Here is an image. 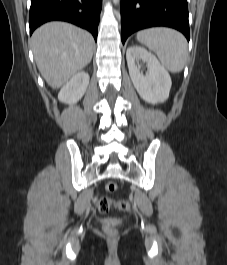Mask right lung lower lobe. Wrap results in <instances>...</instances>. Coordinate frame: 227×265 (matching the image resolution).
Segmentation results:
<instances>
[{"label":"right lung lower lobe","mask_w":227,"mask_h":265,"mask_svg":"<svg viewBox=\"0 0 227 265\" xmlns=\"http://www.w3.org/2000/svg\"><path fill=\"white\" fill-rule=\"evenodd\" d=\"M102 0H31L30 34L51 20L71 22L90 31L97 40Z\"/></svg>","instance_id":"1"}]
</instances>
